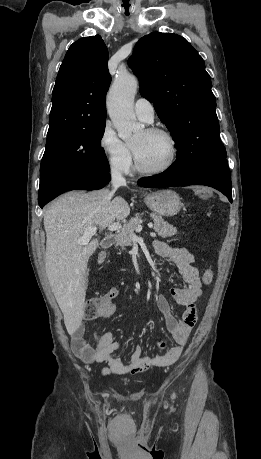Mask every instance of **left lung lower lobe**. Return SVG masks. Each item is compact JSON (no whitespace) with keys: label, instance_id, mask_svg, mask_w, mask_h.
Returning <instances> with one entry per match:
<instances>
[{"label":"left lung lower lobe","instance_id":"obj_1","mask_svg":"<svg viewBox=\"0 0 261 459\" xmlns=\"http://www.w3.org/2000/svg\"><path fill=\"white\" fill-rule=\"evenodd\" d=\"M138 185L146 188L206 185L219 190L232 202L231 175L226 158L199 164L186 173L170 167L154 177L139 180Z\"/></svg>","mask_w":261,"mask_h":459}]
</instances>
